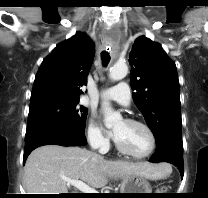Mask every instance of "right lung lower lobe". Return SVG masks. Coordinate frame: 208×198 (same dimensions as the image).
I'll return each instance as SVG.
<instances>
[{"label": "right lung lower lobe", "instance_id": "98d812e1", "mask_svg": "<svg viewBox=\"0 0 208 198\" xmlns=\"http://www.w3.org/2000/svg\"><path fill=\"white\" fill-rule=\"evenodd\" d=\"M84 134L63 124H46L26 131L23 163L28 155L43 145L84 146Z\"/></svg>", "mask_w": 208, "mask_h": 198}]
</instances>
